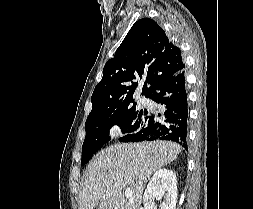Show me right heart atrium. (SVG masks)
<instances>
[{
	"mask_svg": "<svg viewBox=\"0 0 253 209\" xmlns=\"http://www.w3.org/2000/svg\"><path fill=\"white\" fill-rule=\"evenodd\" d=\"M117 131H118V127H117V126H113V127L110 129V133H111L112 135H115V134L117 133Z\"/></svg>",
	"mask_w": 253,
	"mask_h": 209,
	"instance_id": "1",
	"label": "right heart atrium"
}]
</instances>
